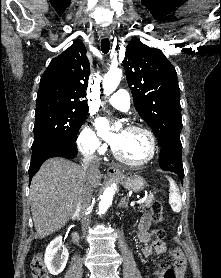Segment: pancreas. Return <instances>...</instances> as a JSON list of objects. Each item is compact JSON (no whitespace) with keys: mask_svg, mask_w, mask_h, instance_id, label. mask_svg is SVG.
<instances>
[{"mask_svg":"<svg viewBox=\"0 0 221 278\" xmlns=\"http://www.w3.org/2000/svg\"><path fill=\"white\" fill-rule=\"evenodd\" d=\"M152 203H153V198L148 197V199H146L145 203L140 206V211L144 212V211H146L147 208H151Z\"/></svg>","mask_w":221,"mask_h":278,"instance_id":"pancreas-1","label":"pancreas"}]
</instances>
